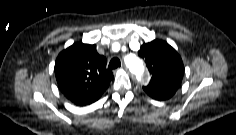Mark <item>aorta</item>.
I'll return each instance as SVG.
<instances>
[{
  "instance_id": "aorta-1",
  "label": "aorta",
  "mask_w": 236,
  "mask_h": 135,
  "mask_svg": "<svg viewBox=\"0 0 236 135\" xmlns=\"http://www.w3.org/2000/svg\"><path fill=\"white\" fill-rule=\"evenodd\" d=\"M126 64L129 69L136 75L137 79H140L144 72L142 61L136 56L126 58Z\"/></svg>"
}]
</instances>
